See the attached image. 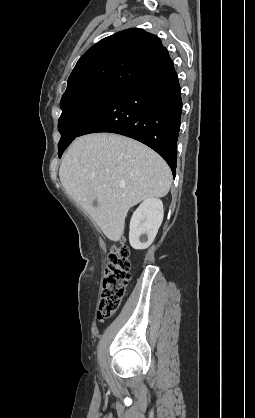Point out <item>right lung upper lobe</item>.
I'll use <instances>...</instances> for the list:
<instances>
[{
	"label": "right lung upper lobe",
	"mask_w": 255,
	"mask_h": 418,
	"mask_svg": "<svg viewBox=\"0 0 255 418\" xmlns=\"http://www.w3.org/2000/svg\"><path fill=\"white\" fill-rule=\"evenodd\" d=\"M172 65L167 49L157 36L139 28L127 29L102 39L81 56L65 93L96 81L129 85Z\"/></svg>",
	"instance_id": "right-lung-upper-lobe-1"
}]
</instances>
